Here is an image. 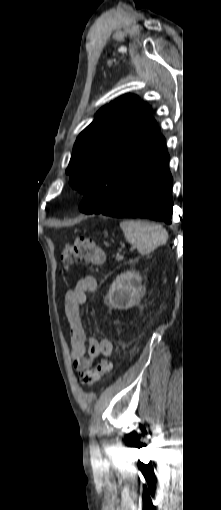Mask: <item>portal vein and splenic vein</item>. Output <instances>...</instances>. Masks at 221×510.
I'll return each instance as SVG.
<instances>
[{
    "mask_svg": "<svg viewBox=\"0 0 221 510\" xmlns=\"http://www.w3.org/2000/svg\"><path fill=\"white\" fill-rule=\"evenodd\" d=\"M116 258H117V260H121V259H123V256L122 255H117Z\"/></svg>",
    "mask_w": 221,
    "mask_h": 510,
    "instance_id": "18ae733b",
    "label": "portal vein and splenic vein"
}]
</instances>
